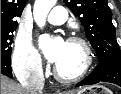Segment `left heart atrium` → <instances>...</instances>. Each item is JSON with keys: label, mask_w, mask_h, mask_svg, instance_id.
<instances>
[{"label": "left heart atrium", "mask_w": 121, "mask_h": 94, "mask_svg": "<svg viewBox=\"0 0 121 94\" xmlns=\"http://www.w3.org/2000/svg\"><path fill=\"white\" fill-rule=\"evenodd\" d=\"M40 43L46 58L52 63H57L64 52L66 42L62 38L51 40L42 37Z\"/></svg>", "instance_id": "1"}]
</instances>
